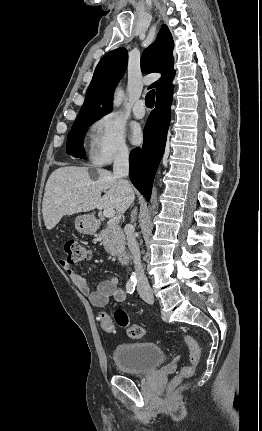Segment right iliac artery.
I'll return each instance as SVG.
<instances>
[{
	"instance_id": "82829eb1",
	"label": "right iliac artery",
	"mask_w": 262,
	"mask_h": 431,
	"mask_svg": "<svg viewBox=\"0 0 262 431\" xmlns=\"http://www.w3.org/2000/svg\"><path fill=\"white\" fill-rule=\"evenodd\" d=\"M135 287H136V282L134 281H128L126 284V290L129 294H133V292L135 291Z\"/></svg>"
}]
</instances>
